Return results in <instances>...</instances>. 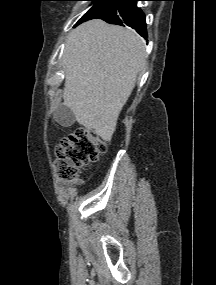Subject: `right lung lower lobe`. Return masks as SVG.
Returning a JSON list of instances; mask_svg holds the SVG:
<instances>
[{
    "label": "right lung lower lobe",
    "instance_id": "right-lung-lower-lobe-1",
    "mask_svg": "<svg viewBox=\"0 0 216 285\" xmlns=\"http://www.w3.org/2000/svg\"><path fill=\"white\" fill-rule=\"evenodd\" d=\"M137 1L139 0H120L113 7L91 19L99 18L110 24L121 26L126 24L127 26L135 29L142 37L147 38L145 16L136 6Z\"/></svg>",
    "mask_w": 216,
    "mask_h": 285
}]
</instances>
